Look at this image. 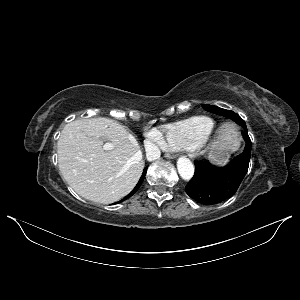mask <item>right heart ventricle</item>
I'll return each mask as SVG.
<instances>
[{"label":"right heart ventricle","instance_id":"e07e8e85","mask_svg":"<svg viewBox=\"0 0 300 300\" xmlns=\"http://www.w3.org/2000/svg\"><path fill=\"white\" fill-rule=\"evenodd\" d=\"M215 123L205 116H197L162 127L167 148L174 151L194 149L213 132Z\"/></svg>","mask_w":300,"mask_h":300}]
</instances>
